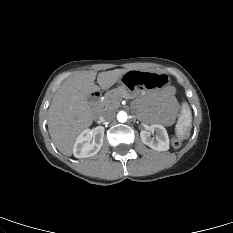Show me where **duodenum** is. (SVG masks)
<instances>
[{"instance_id": "1", "label": "duodenum", "mask_w": 233, "mask_h": 233, "mask_svg": "<svg viewBox=\"0 0 233 233\" xmlns=\"http://www.w3.org/2000/svg\"><path fill=\"white\" fill-rule=\"evenodd\" d=\"M100 98H101V93L99 91H94L90 96V100L94 108V114L96 115L99 112Z\"/></svg>"}]
</instances>
